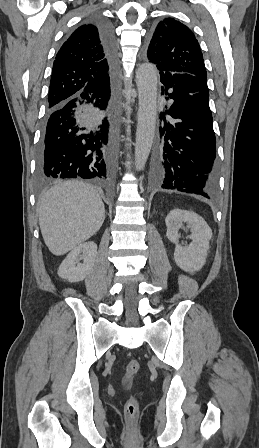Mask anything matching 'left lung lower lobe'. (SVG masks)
I'll return each instance as SVG.
<instances>
[{"instance_id":"left-lung-lower-lobe-1","label":"left lung lower lobe","mask_w":259,"mask_h":448,"mask_svg":"<svg viewBox=\"0 0 259 448\" xmlns=\"http://www.w3.org/2000/svg\"><path fill=\"white\" fill-rule=\"evenodd\" d=\"M160 80L171 106L160 114L164 142L153 162L152 184L209 198L217 189L218 165L207 80L170 71H160Z\"/></svg>"}]
</instances>
